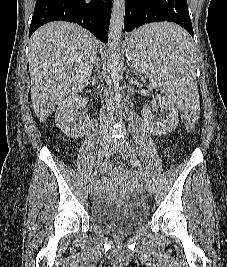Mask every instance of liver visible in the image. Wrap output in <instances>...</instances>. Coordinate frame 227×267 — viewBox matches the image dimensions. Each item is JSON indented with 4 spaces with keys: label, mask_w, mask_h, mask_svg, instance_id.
Returning <instances> with one entry per match:
<instances>
[{
    "label": "liver",
    "mask_w": 227,
    "mask_h": 267,
    "mask_svg": "<svg viewBox=\"0 0 227 267\" xmlns=\"http://www.w3.org/2000/svg\"><path fill=\"white\" fill-rule=\"evenodd\" d=\"M99 45L89 31L68 22H50L33 33L28 54L31 101L41 122L89 83Z\"/></svg>",
    "instance_id": "1"
}]
</instances>
